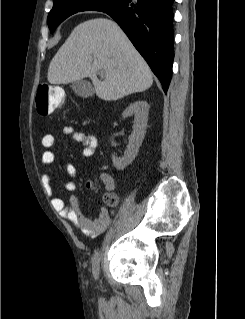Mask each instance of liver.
<instances>
[{"mask_svg":"<svg viewBox=\"0 0 245 319\" xmlns=\"http://www.w3.org/2000/svg\"><path fill=\"white\" fill-rule=\"evenodd\" d=\"M104 71V79L97 72ZM89 77L96 95L115 101L151 87L153 74L118 24L107 18L80 23L51 60L50 84H68Z\"/></svg>","mask_w":245,"mask_h":319,"instance_id":"liver-1","label":"liver"}]
</instances>
